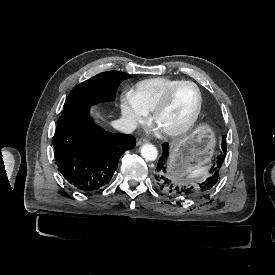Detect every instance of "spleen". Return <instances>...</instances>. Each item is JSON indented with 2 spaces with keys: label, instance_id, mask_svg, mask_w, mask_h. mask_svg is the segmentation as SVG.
I'll return each mask as SVG.
<instances>
[{
  "label": "spleen",
  "instance_id": "1",
  "mask_svg": "<svg viewBox=\"0 0 275 275\" xmlns=\"http://www.w3.org/2000/svg\"><path fill=\"white\" fill-rule=\"evenodd\" d=\"M208 170V167L205 168H196L190 173V177L202 176Z\"/></svg>",
  "mask_w": 275,
  "mask_h": 275
}]
</instances>
